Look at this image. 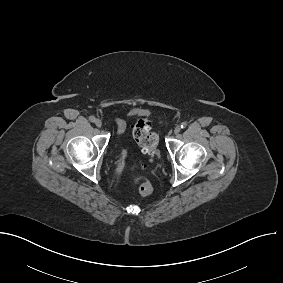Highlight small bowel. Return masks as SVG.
Returning a JSON list of instances; mask_svg holds the SVG:
<instances>
[{"label":"small bowel","instance_id":"1","mask_svg":"<svg viewBox=\"0 0 283 283\" xmlns=\"http://www.w3.org/2000/svg\"><path fill=\"white\" fill-rule=\"evenodd\" d=\"M116 125H117V133L120 135L125 131L126 128V123L122 119H117L116 120Z\"/></svg>","mask_w":283,"mask_h":283}]
</instances>
